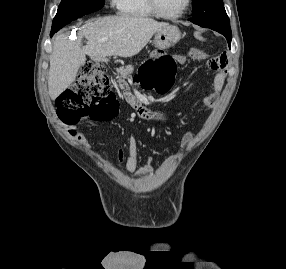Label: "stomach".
<instances>
[{
  "label": "stomach",
  "mask_w": 286,
  "mask_h": 269,
  "mask_svg": "<svg viewBox=\"0 0 286 269\" xmlns=\"http://www.w3.org/2000/svg\"><path fill=\"white\" fill-rule=\"evenodd\" d=\"M181 38V32L175 25H166L159 29L154 36V45L158 49H168L174 46Z\"/></svg>",
  "instance_id": "stomach-1"
}]
</instances>
